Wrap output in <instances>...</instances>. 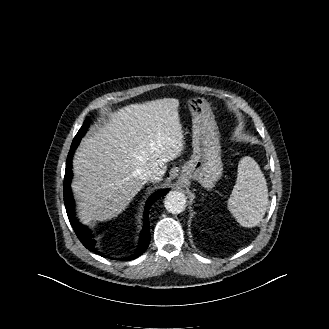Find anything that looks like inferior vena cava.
I'll return each instance as SVG.
<instances>
[{
  "mask_svg": "<svg viewBox=\"0 0 329 329\" xmlns=\"http://www.w3.org/2000/svg\"><path fill=\"white\" fill-rule=\"evenodd\" d=\"M140 179L143 180L144 182H157L160 180L159 178V173L156 170H144L141 175H140Z\"/></svg>",
  "mask_w": 329,
  "mask_h": 329,
  "instance_id": "602c4592",
  "label": "inferior vena cava"
}]
</instances>
